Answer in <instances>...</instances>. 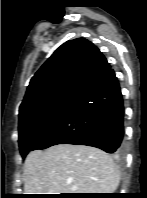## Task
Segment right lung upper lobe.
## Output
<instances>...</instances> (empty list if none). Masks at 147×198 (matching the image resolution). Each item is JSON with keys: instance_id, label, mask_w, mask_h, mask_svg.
I'll use <instances>...</instances> for the list:
<instances>
[{"instance_id": "cb5924a9", "label": "right lung upper lobe", "mask_w": 147, "mask_h": 198, "mask_svg": "<svg viewBox=\"0 0 147 198\" xmlns=\"http://www.w3.org/2000/svg\"><path fill=\"white\" fill-rule=\"evenodd\" d=\"M99 49L84 38L62 44L30 81L19 117L54 101H76L110 70Z\"/></svg>"}]
</instances>
